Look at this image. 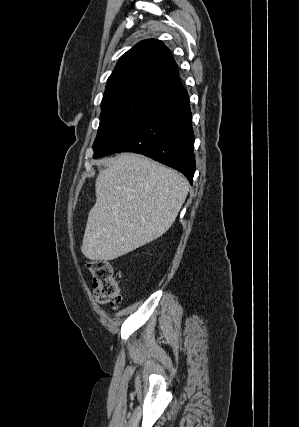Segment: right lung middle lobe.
Returning a JSON list of instances; mask_svg holds the SVG:
<instances>
[{"label": "right lung middle lobe", "mask_w": 299, "mask_h": 427, "mask_svg": "<svg viewBox=\"0 0 299 427\" xmlns=\"http://www.w3.org/2000/svg\"><path fill=\"white\" fill-rule=\"evenodd\" d=\"M155 101L133 96L103 100L100 124L93 144L94 154L111 145L132 126Z\"/></svg>", "instance_id": "obj_1"}]
</instances>
